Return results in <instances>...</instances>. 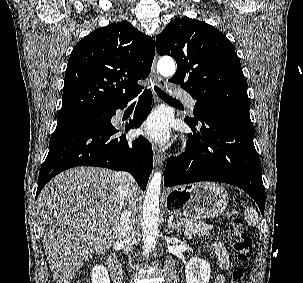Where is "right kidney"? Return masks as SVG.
Here are the masks:
<instances>
[{
  "mask_svg": "<svg viewBox=\"0 0 303 283\" xmlns=\"http://www.w3.org/2000/svg\"><path fill=\"white\" fill-rule=\"evenodd\" d=\"M92 283H110L107 269L102 265H96L91 273Z\"/></svg>",
  "mask_w": 303,
  "mask_h": 283,
  "instance_id": "obj_1",
  "label": "right kidney"
}]
</instances>
